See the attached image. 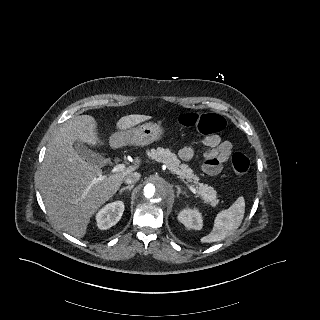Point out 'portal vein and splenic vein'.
<instances>
[{
  "label": "portal vein and splenic vein",
  "mask_w": 320,
  "mask_h": 320,
  "mask_svg": "<svg viewBox=\"0 0 320 320\" xmlns=\"http://www.w3.org/2000/svg\"><path fill=\"white\" fill-rule=\"evenodd\" d=\"M123 170H125V165L124 164H118V165H115L113 167L112 172L116 173V172H120V171H123ZM188 187L194 194H196V195L198 194V191L195 188L191 187L190 185H188Z\"/></svg>",
  "instance_id": "1"
}]
</instances>
